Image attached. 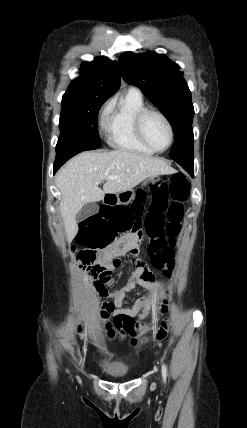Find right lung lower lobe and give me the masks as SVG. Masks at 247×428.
Instances as JSON below:
<instances>
[{
    "instance_id": "right-lung-lower-lobe-1",
    "label": "right lung lower lobe",
    "mask_w": 247,
    "mask_h": 428,
    "mask_svg": "<svg viewBox=\"0 0 247 428\" xmlns=\"http://www.w3.org/2000/svg\"><path fill=\"white\" fill-rule=\"evenodd\" d=\"M80 153L79 151H72V152H58L56 153V159L54 162V174L55 172L71 157L74 155Z\"/></svg>"
}]
</instances>
